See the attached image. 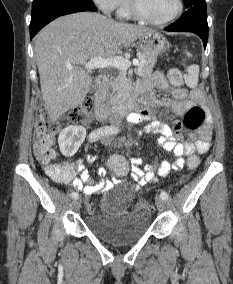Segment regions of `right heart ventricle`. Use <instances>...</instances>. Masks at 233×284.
Here are the masks:
<instances>
[{
  "mask_svg": "<svg viewBox=\"0 0 233 284\" xmlns=\"http://www.w3.org/2000/svg\"><path fill=\"white\" fill-rule=\"evenodd\" d=\"M118 15L123 18L132 17V12L129 6V0H123L121 5L118 7Z\"/></svg>",
  "mask_w": 233,
  "mask_h": 284,
  "instance_id": "obj_1",
  "label": "right heart ventricle"
}]
</instances>
